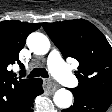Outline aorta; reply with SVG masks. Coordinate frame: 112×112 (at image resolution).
Wrapping results in <instances>:
<instances>
[{
  "instance_id": "aorta-1",
  "label": "aorta",
  "mask_w": 112,
  "mask_h": 112,
  "mask_svg": "<svg viewBox=\"0 0 112 112\" xmlns=\"http://www.w3.org/2000/svg\"><path fill=\"white\" fill-rule=\"evenodd\" d=\"M27 46L33 53L44 55L50 49V41L44 34L33 32L27 38ZM53 101L57 107L66 109L72 105L73 95L69 90L59 89L55 92Z\"/></svg>"
}]
</instances>
